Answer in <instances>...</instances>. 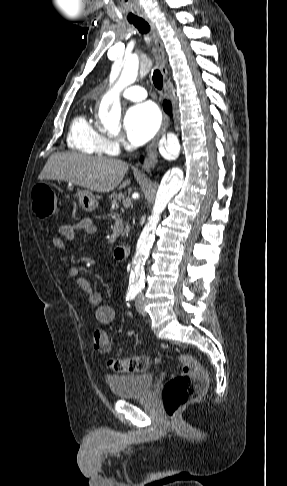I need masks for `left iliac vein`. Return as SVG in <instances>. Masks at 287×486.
Wrapping results in <instances>:
<instances>
[{
  "label": "left iliac vein",
  "instance_id": "1",
  "mask_svg": "<svg viewBox=\"0 0 287 486\" xmlns=\"http://www.w3.org/2000/svg\"><path fill=\"white\" fill-rule=\"evenodd\" d=\"M135 306H136L137 311L141 315H146V311H145V297H144V294L143 293H140L136 297Z\"/></svg>",
  "mask_w": 287,
  "mask_h": 486
}]
</instances>
